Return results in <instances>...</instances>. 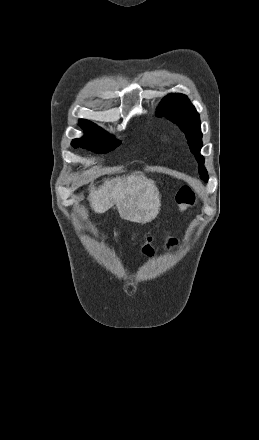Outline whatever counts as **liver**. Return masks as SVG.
Segmentation results:
<instances>
[{"instance_id": "6515ba94", "label": "liver", "mask_w": 259, "mask_h": 440, "mask_svg": "<svg viewBox=\"0 0 259 440\" xmlns=\"http://www.w3.org/2000/svg\"><path fill=\"white\" fill-rule=\"evenodd\" d=\"M89 200L96 213H105L116 205L122 219L141 224L154 220L161 206L154 181L135 173L106 179L97 189L91 185Z\"/></svg>"}]
</instances>
